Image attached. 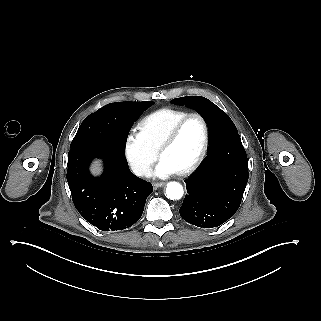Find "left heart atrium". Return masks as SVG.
<instances>
[{"instance_id": "1", "label": "left heart atrium", "mask_w": 321, "mask_h": 321, "mask_svg": "<svg viewBox=\"0 0 321 321\" xmlns=\"http://www.w3.org/2000/svg\"><path fill=\"white\" fill-rule=\"evenodd\" d=\"M179 172L180 170L175 166L170 158L161 156L155 165L153 173L158 177L165 178Z\"/></svg>"}]
</instances>
